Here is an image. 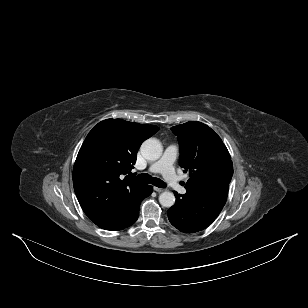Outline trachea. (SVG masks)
Returning <instances> with one entry per match:
<instances>
[{"label":"trachea","mask_w":308,"mask_h":308,"mask_svg":"<svg viewBox=\"0 0 308 308\" xmlns=\"http://www.w3.org/2000/svg\"><path fill=\"white\" fill-rule=\"evenodd\" d=\"M135 179L138 182L145 183V184H153L154 186L159 187V188H164L167 186L166 183L163 182L161 179L152 177L146 173L139 174L138 176L135 177Z\"/></svg>","instance_id":"3493384b"}]
</instances>
